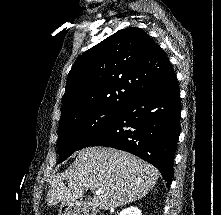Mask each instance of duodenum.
Returning a JSON list of instances; mask_svg holds the SVG:
<instances>
[{
  "mask_svg": "<svg viewBox=\"0 0 221 215\" xmlns=\"http://www.w3.org/2000/svg\"><path fill=\"white\" fill-rule=\"evenodd\" d=\"M78 215H96L93 211L84 212Z\"/></svg>",
  "mask_w": 221,
  "mask_h": 215,
  "instance_id": "410a0bca",
  "label": "duodenum"
}]
</instances>
